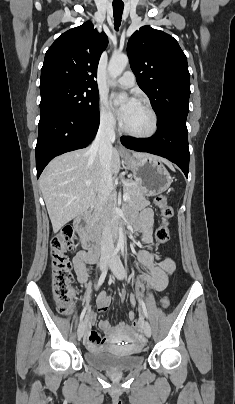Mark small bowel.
Returning a JSON list of instances; mask_svg holds the SVG:
<instances>
[{"label":"small bowel","instance_id":"obj_1","mask_svg":"<svg viewBox=\"0 0 235 404\" xmlns=\"http://www.w3.org/2000/svg\"><path fill=\"white\" fill-rule=\"evenodd\" d=\"M154 225V216L150 209H144L140 216L133 220L134 229L140 233L141 248L137 252V256L145 268V272L140 276L141 281L152 290L159 292L167 287L169 277L176 268V263L172 257H160L146 248L152 242ZM73 263L79 282L86 283L89 277L88 265L93 263L90 251H79L74 256ZM134 303L135 300L132 299V304ZM111 304L112 298L110 296L105 292L99 293L96 299L98 311H108ZM135 316L136 313L134 310H131L128 314L130 320H134ZM85 317L84 344L89 350L104 347L105 342L115 343L131 338L132 329L127 322H120L116 326H112L107 320H101L99 327L105 334V337H101L96 331L91 329L96 321L95 312L87 308Z\"/></svg>","mask_w":235,"mask_h":404}]
</instances>
